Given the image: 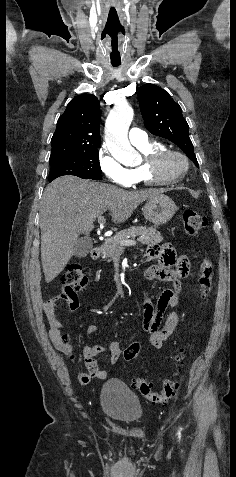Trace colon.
<instances>
[{
    "label": "colon",
    "instance_id": "1",
    "mask_svg": "<svg viewBox=\"0 0 236 477\" xmlns=\"http://www.w3.org/2000/svg\"><path fill=\"white\" fill-rule=\"evenodd\" d=\"M184 231L188 236H196L203 231L207 226L205 216L199 212L186 209L183 212ZM187 257H182L183 266H178V271L181 273L187 272ZM64 290L67 294H75L79 291H84L89 284L84 268L79 264H69L62 276ZM213 280V265L210 260L203 259L199 270V286L200 295L203 300L207 299L211 289ZM141 352V344L138 342L131 343L123 351V358L126 361L135 359ZM185 358V353L181 352L177 356V368L174 375L165 378L160 389H154L153 386L143 379H136L134 387L148 400L154 403H164L172 399L178 389L177 377L181 373V368Z\"/></svg>",
    "mask_w": 236,
    "mask_h": 477
}]
</instances>
